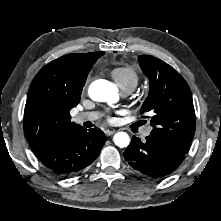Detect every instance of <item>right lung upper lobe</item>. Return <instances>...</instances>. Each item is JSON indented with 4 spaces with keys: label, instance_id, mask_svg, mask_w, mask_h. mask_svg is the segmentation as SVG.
I'll return each mask as SVG.
<instances>
[{
    "label": "right lung upper lobe",
    "instance_id": "obj_1",
    "mask_svg": "<svg viewBox=\"0 0 221 221\" xmlns=\"http://www.w3.org/2000/svg\"><path fill=\"white\" fill-rule=\"evenodd\" d=\"M105 52L67 54L45 65L33 79L24 110L26 139L37 157L62 137L82 127L70 110L81 97L91 67Z\"/></svg>",
    "mask_w": 221,
    "mask_h": 221
}]
</instances>
